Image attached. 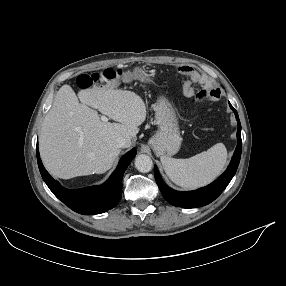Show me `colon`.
Masks as SVG:
<instances>
[{"instance_id":"5ec220e1","label":"colon","mask_w":286,"mask_h":286,"mask_svg":"<svg viewBox=\"0 0 286 286\" xmlns=\"http://www.w3.org/2000/svg\"><path fill=\"white\" fill-rule=\"evenodd\" d=\"M119 74V71L108 67L101 72H94L90 74H81L77 78V85L80 89H88L91 88L93 85L99 83L103 79H113ZM208 94H204L199 92L196 94L197 100H205L208 98Z\"/></svg>"}]
</instances>
